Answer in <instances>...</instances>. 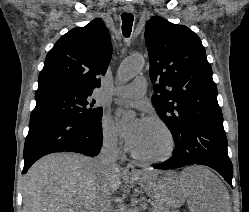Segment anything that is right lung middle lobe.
Masks as SVG:
<instances>
[{
  "label": "right lung middle lobe",
  "instance_id": "right-lung-middle-lobe-1",
  "mask_svg": "<svg viewBox=\"0 0 249 212\" xmlns=\"http://www.w3.org/2000/svg\"><path fill=\"white\" fill-rule=\"evenodd\" d=\"M92 93L55 91L35 95L36 106L30 121L51 116H61L81 122H101L102 108L95 107L96 101L90 99Z\"/></svg>",
  "mask_w": 249,
  "mask_h": 212
}]
</instances>
